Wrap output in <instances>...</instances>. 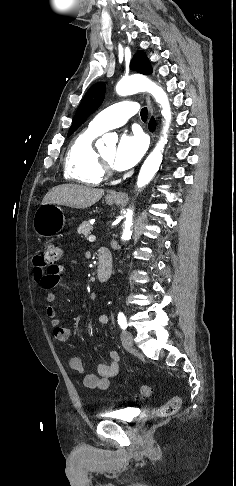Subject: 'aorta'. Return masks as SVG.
I'll return each mask as SVG.
<instances>
[{
  "instance_id": "1",
  "label": "aorta",
  "mask_w": 236,
  "mask_h": 486,
  "mask_svg": "<svg viewBox=\"0 0 236 486\" xmlns=\"http://www.w3.org/2000/svg\"><path fill=\"white\" fill-rule=\"evenodd\" d=\"M116 92L118 95L121 96L131 95L138 92H148L155 98L156 102L162 108L161 114L165 120L162 130V136L160 137V140L156 144L153 151L146 158L138 175L137 187L142 188L148 185V183L152 180L162 162V153L164 151V146L167 143V133L171 122V109L169 100L166 92L160 86L144 76L134 75L121 79L116 85ZM109 139V135H104L103 138L97 142V146H101L103 144V141H107ZM132 218L133 211L128 210L122 234V239L125 241L129 240L132 235Z\"/></svg>"
}]
</instances>
